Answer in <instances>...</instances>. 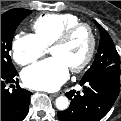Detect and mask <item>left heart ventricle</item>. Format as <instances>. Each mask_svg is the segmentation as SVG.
<instances>
[{
  "label": "left heart ventricle",
  "mask_w": 121,
  "mask_h": 121,
  "mask_svg": "<svg viewBox=\"0 0 121 121\" xmlns=\"http://www.w3.org/2000/svg\"><path fill=\"white\" fill-rule=\"evenodd\" d=\"M89 47V37L86 30L78 31L67 43L54 46L50 52L61 57L69 68L79 64L85 57Z\"/></svg>",
  "instance_id": "b2bd125f"
}]
</instances>
